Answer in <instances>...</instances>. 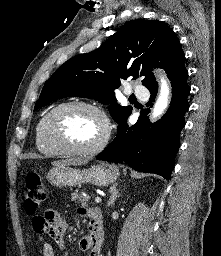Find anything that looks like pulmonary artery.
<instances>
[{"mask_svg": "<svg viewBox=\"0 0 221 256\" xmlns=\"http://www.w3.org/2000/svg\"><path fill=\"white\" fill-rule=\"evenodd\" d=\"M133 93L139 98H146L149 95L147 88L142 85H136L133 89Z\"/></svg>", "mask_w": 221, "mask_h": 256, "instance_id": "1", "label": "pulmonary artery"}]
</instances>
